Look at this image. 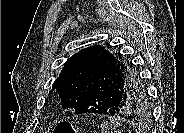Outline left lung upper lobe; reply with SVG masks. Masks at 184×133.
<instances>
[{
	"label": "left lung upper lobe",
	"mask_w": 184,
	"mask_h": 133,
	"mask_svg": "<svg viewBox=\"0 0 184 133\" xmlns=\"http://www.w3.org/2000/svg\"><path fill=\"white\" fill-rule=\"evenodd\" d=\"M102 52L106 53L114 68H118L127 84L130 86L136 84L135 77L138 76L136 70L120 54H112L100 45L87 47L75 53L65 62L59 77L54 81L52 90L49 92L51 94L53 91H57L62 101V107L76 110L86 98L90 101L95 100V95L90 96L89 93L99 70L98 60ZM139 84H142L140 80ZM135 101L136 106L129 108L128 113L135 116L134 123L140 126L146 123L151 115V105L146 90L137 95Z\"/></svg>",
	"instance_id": "1"
}]
</instances>
